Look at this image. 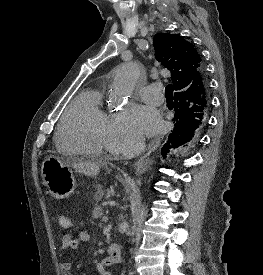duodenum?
I'll list each match as a JSON object with an SVG mask.
<instances>
[{
    "mask_svg": "<svg viewBox=\"0 0 263 275\" xmlns=\"http://www.w3.org/2000/svg\"><path fill=\"white\" fill-rule=\"evenodd\" d=\"M121 259V250L120 247L112 243L108 247V254L104 258V264L106 265H114L116 263H119Z\"/></svg>",
    "mask_w": 263,
    "mask_h": 275,
    "instance_id": "duodenum-1",
    "label": "duodenum"
}]
</instances>
